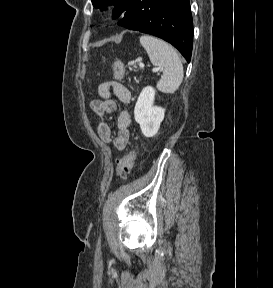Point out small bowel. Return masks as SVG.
I'll return each instance as SVG.
<instances>
[{"label":"small bowel","instance_id":"obj_1","mask_svg":"<svg viewBox=\"0 0 273 288\" xmlns=\"http://www.w3.org/2000/svg\"><path fill=\"white\" fill-rule=\"evenodd\" d=\"M112 93L124 104L128 105L131 101V93L129 89L122 83L111 80L103 82L98 87L100 99L90 102V108L94 114L103 118L108 114L115 112L116 103L111 98ZM131 123L130 114L127 110H122L117 119V134L112 135L110 126L101 122L97 127L99 138L105 143H112L115 148L122 150L129 140V127Z\"/></svg>","mask_w":273,"mask_h":288}]
</instances>
